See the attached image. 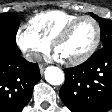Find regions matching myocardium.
Returning a JSON list of instances; mask_svg holds the SVG:
<instances>
[{
  "label": "myocardium",
  "mask_w": 112,
  "mask_h": 112,
  "mask_svg": "<svg viewBox=\"0 0 112 112\" xmlns=\"http://www.w3.org/2000/svg\"><path fill=\"white\" fill-rule=\"evenodd\" d=\"M82 20H90L93 23L95 27V38L93 40V43L89 47V49L81 57L72 59V60H66V62L71 65H79L86 62L92 57V55L97 50L101 40V34H102L101 26L99 22L90 15L78 16L77 18L69 22L65 27H63L61 31L54 37V39L51 42V47L53 51H55L58 44L61 43L63 40H65L69 36L73 28Z\"/></svg>",
  "instance_id": "myocardium-1"
}]
</instances>
